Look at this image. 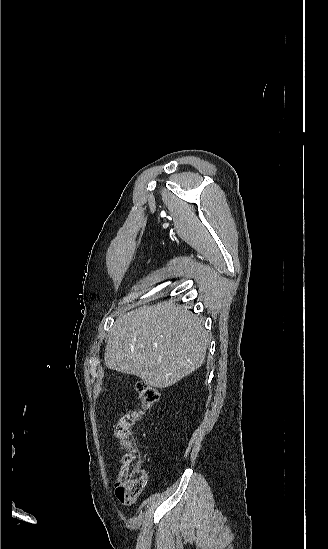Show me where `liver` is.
Listing matches in <instances>:
<instances>
[{
    "label": "liver",
    "instance_id": "1",
    "mask_svg": "<svg viewBox=\"0 0 328 549\" xmlns=\"http://www.w3.org/2000/svg\"><path fill=\"white\" fill-rule=\"evenodd\" d=\"M209 339L203 319L183 305H144L118 315L104 363L118 373L140 377L150 387L166 389L202 367Z\"/></svg>",
    "mask_w": 328,
    "mask_h": 549
}]
</instances>
